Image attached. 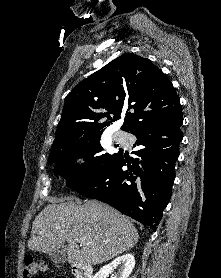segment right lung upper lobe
I'll list each match as a JSON object with an SVG mask.
<instances>
[{"label":"right lung upper lobe","mask_w":221,"mask_h":278,"mask_svg":"<svg viewBox=\"0 0 221 278\" xmlns=\"http://www.w3.org/2000/svg\"><path fill=\"white\" fill-rule=\"evenodd\" d=\"M180 100L149 59L125 53L81 81L65 98L51 150L97 136L124 117L122 130L174 117Z\"/></svg>","instance_id":"cb5924a9"}]
</instances>
